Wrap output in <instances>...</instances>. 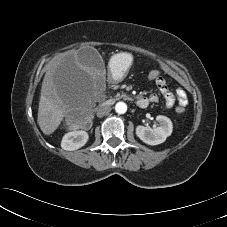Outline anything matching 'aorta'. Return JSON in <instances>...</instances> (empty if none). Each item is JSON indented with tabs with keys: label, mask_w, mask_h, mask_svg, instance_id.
<instances>
[{
	"label": "aorta",
	"mask_w": 227,
	"mask_h": 227,
	"mask_svg": "<svg viewBox=\"0 0 227 227\" xmlns=\"http://www.w3.org/2000/svg\"><path fill=\"white\" fill-rule=\"evenodd\" d=\"M115 111L119 114H124L127 111V105L124 102H118L115 105Z\"/></svg>",
	"instance_id": "aorta-1"
}]
</instances>
